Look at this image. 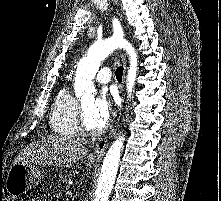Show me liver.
<instances>
[{
  "mask_svg": "<svg viewBox=\"0 0 221 201\" xmlns=\"http://www.w3.org/2000/svg\"><path fill=\"white\" fill-rule=\"evenodd\" d=\"M88 149L80 142L64 136H46L29 144L14 160L43 166L70 167L85 157Z\"/></svg>",
  "mask_w": 221,
  "mask_h": 201,
  "instance_id": "obj_1",
  "label": "liver"
}]
</instances>
